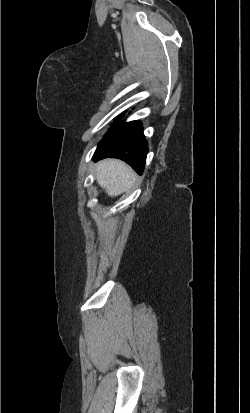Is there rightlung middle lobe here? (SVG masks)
Returning <instances> with one entry per match:
<instances>
[{"instance_id":"obj_1","label":"right lung middle lobe","mask_w":250,"mask_h":413,"mask_svg":"<svg viewBox=\"0 0 250 413\" xmlns=\"http://www.w3.org/2000/svg\"><path fill=\"white\" fill-rule=\"evenodd\" d=\"M118 123H119V122H118ZM118 123H117L116 125H114V126L112 127V129L115 128V127L118 125ZM112 129H111V130H112ZM111 130H110V131H111ZM110 131H109V132H110Z\"/></svg>"}]
</instances>
